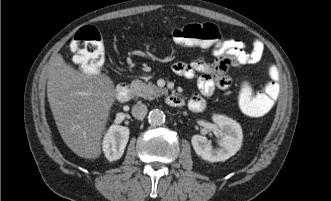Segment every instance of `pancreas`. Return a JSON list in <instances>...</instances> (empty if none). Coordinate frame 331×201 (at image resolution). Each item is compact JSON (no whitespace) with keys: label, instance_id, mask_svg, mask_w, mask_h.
<instances>
[{"label":"pancreas","instance_id":"obj_1","mask_svg":"<svg viewBox=\"0 0 331 201\" xmlns=\"http://www.w3.org/2000/svg\"><path fill=\"white\" fill-rule=\"evenodd\" d=\"M131 87L134 90V95L143 97L144 99L153 100L165 93V89L158 88L156 85L144 83L141 80L135 79L131 82Z\"/></svg>","mask_w":331,"mask_h":201}]
</instances>
